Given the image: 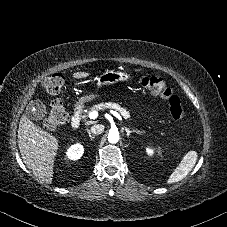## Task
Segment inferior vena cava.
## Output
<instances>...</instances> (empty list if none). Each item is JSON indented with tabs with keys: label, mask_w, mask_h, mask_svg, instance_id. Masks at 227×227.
Here are the masks:
<instances>
[{
	"label": "inferior vena cava",
	"mask_w": 227,
	"mask_h": 227,
	"mask_svg": "<svg viewBox=\"0 0 227 227\" xmlns=\"http://www.w3.org/2000/svg\"><path fill=\"white\" fill-rule=\"evenodd\" d=\"M91 133L94 135H99L104 131V125L96 124L91 127Z\"/></svg>",
	"instance_id": "1"
}]
</instances>
